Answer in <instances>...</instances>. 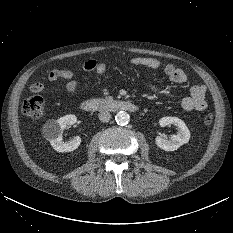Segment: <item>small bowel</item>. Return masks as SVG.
I'll return each instance as SVG.
<instances>
[{"label": "small bowel", "mask_w": 233, "mask_h": 233, "mask_svg": "<svg viewBox=\"0 0 233 233\" xmlns=\"http://www.w3.org/2000/svg\"><path fill=\"white\" fill-rule=\"evenodd\" d=\"M130 62L133 65L149 69H158L160 67L159 60L151 57H133ZM82 68L85 71H93L98 75H104L107 71V65L104 62L97 61L95 59L85 61ZM164 72L168 78L176 84H182L188 80L186 73L172 64L166 65L164 67ZM59 79L67 80L66 90L68 93L71 95L76 94L78 87L76 72L74 70L61 68L52 69L44 81L35 82L31 85L30 89L35 94H42L46 91L47 82H53ZM149 89L154 95H162V91L153 84L149 85ZM181 106L186 112L205 111L208 106L206 102V87L201 84L192 86L190 89V95L183 98Z\"/></svg>", "instance_id": "1"}]
</instances>
